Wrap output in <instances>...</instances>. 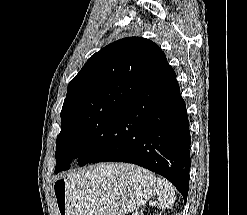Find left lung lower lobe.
I'll return each mask as SVG.
<instances>
[{
  "mask_svg": "<svg viewBox=\"0 0 247 215\" xmlns=\"http://www.w3.org/2000/svg\"><path fill=\"white\" fill-rule=\"evenodd\" d=\"M104 141L94 154L83 150L79 164L113 161L142 166L171 181L186 203L191 166L189 121L175 72L166 58Z\"/></svg>",
  "mask_w": 247,
  "mask_h": 215,
  "instance_id": "obj_1",
  "label": "left lung lower lobe"
}]
</instances>
